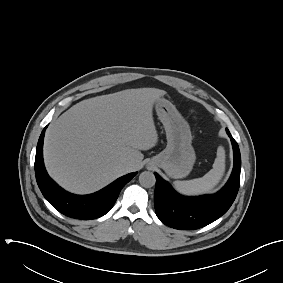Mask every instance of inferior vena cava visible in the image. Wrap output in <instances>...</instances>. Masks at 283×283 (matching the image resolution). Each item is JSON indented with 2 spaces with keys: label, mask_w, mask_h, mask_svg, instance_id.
Returning a JSON list of instances; mask_svg holds the SVG:
<instances>
[{
  "label": "inferior vena cava",
  "mask_w": 283,
  "mask_h": 283,
  "mask_svg": "<svg viewBox=\"0 0 283 283\" xmlns=\"http://www.w3.org/2000/svg\"><path fill=\"white\" fill-rule=\"evenodd\" d=\"M131 164L130 162H125L121 165V167L124 169V170H128L130 168Z\"/></svg>",
  "instance_id": "1"
}]
</instances>
